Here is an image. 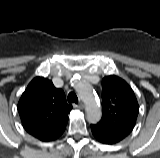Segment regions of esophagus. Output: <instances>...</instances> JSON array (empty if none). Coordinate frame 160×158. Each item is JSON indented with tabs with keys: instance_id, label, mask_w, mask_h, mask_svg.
<instances>
[{
	"instance_id": "obj_1",
	"label": "esophagus",
	"mask_w": 160,
	"mask_h": 158,
	"mask_svg": "<svg viewBox=\"0 0 160 158\" xmlns=\"http://www.w3.org/2000/svg\"><path fill=\"white\" fill-rule=\"evenodd\" d=\"M74 107L78 108V109H83L84 108V104L82 102H80L79 104L75 105Z\"/></svg>"
}]
</instances>
